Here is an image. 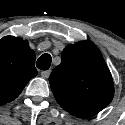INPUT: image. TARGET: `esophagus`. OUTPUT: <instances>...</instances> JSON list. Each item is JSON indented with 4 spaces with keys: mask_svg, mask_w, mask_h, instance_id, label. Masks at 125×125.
Instances as JSON below:
<instances>
[{
    "mask_svg": "<svg viewBox=\"0 0 125 125\" xmlns=\"http://www.w3.org/2000/svg\"><path fill=\"white\" fill-rule=\"evenodd\" d=\"M50 75V70L42 71L41 76L45 79H47Z\"/></svg>",
    "mask_w": 125,
    "mask_h": 125,
    "instance_id": "esophagus-1",
    "label": "esophagus"
}]
</instances>
